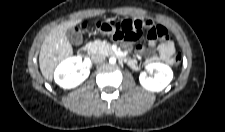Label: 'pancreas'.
Masks as SVG:
<instances>
[{
    "label": "pancreas",
    "instance_id": "cf45deb5",
    "mask_svg": "<svg viewBox=\"0 0 225 132\" xmlns=\"http://www.w3.org/2000/svg\"><path fill=\"white\" fill-rule=\"evenodd\" d=\"M90 50L93 53H101L103 55H112L113 50L111 48V45L102 41H94L89 44Z\"/></svg>",
    "mask_w": 225,
    "mask_h": 132
}]
</instances>
